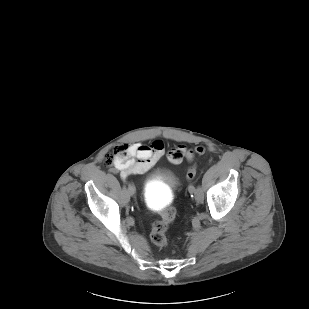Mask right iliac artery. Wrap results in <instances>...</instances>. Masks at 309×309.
Segmentation results:
<instances>
[{"mask_svg": "<svg viewBox=\"0 0 309 309\" xmlns=\"http://www.w3.org/2000/svg\"><path fill=\"white\" fill-rule=\"evenodd\" d=\"M127 181H128V190H129V193H132V192H134V185H133V182H132V178L131 177H128L127 178Z\"/></svg>", "mask_w": 309, "mask_h": 309, "instance_id": "obj_1", "label": "right iliac artery"}]
</instances>
